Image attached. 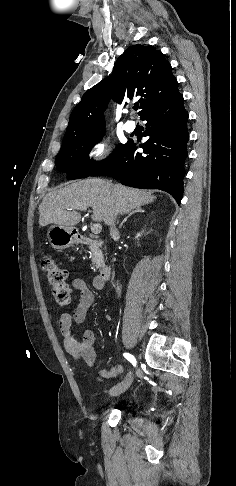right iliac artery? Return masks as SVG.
Instances as JSON below:
<instances>
[{
	"instance_id": "right-iliac-artery-1",
	"label": "right iliac artery",
	"mask_w": 236,
	"mask_h": 486,
	"mask_svg": "<svg viewBox=\"0 0 236 486\" xmlns=\"http://www.w3.org/2000/svg\"><path fill=\"white\" fill-rule=\"evenodd\" d=\"M123 355H124V357H125V358H126L128 361H129V362H131V363H132V365H133V366H136V360H135V358H134V356H133V355H131V354H129V353H124Z\"/></svg>"
}]
</instances>
